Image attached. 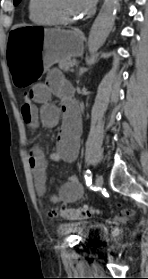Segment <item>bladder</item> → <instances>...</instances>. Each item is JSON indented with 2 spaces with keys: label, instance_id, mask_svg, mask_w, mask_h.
Listing matches in <instances>:
<instances>
[{
  "label": "bladder",
  "instance_id": "bladder-1",
  "mask_svg": "<svg viewBox=\"0 0 148 279\" xmlns=\"http://www.w3.org/2000/svg\"><path fill=\"white\" fill-rule=\"evenodd\" d=\"M59 231L62 235L75 233L82 238H103L108 233L103 224L84 221L62 223Z\"/></svg>",
  "mask_w": 148,
  "mask_h": 279
}]
</instances>
